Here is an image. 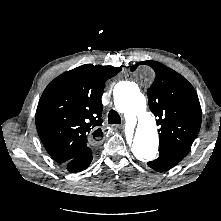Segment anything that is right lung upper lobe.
Segmentation results:
<instances>
[{
	"instance_id": "cb5924a9",
	"label": "right lung upper lobe",
	"mask_w": 221,
	"mask_h": 221,
	"mask_svg": "<svg viewBox=\"0 0 221 221\" xmlns=\"http://www.w3.org/2000/svg\"><path fill=\"white\" fill-rule=\"evenodd\" d=\"M119 67L85 64L55 78L36 110V127L46 150L65 164L102 136L101 97Z\"/></svg>"
}]
</instances>
